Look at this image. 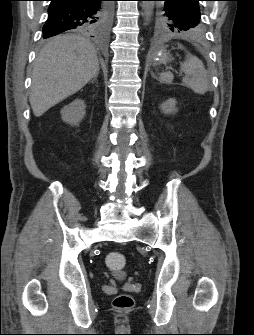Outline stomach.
<instances>
[{
  "label": "stomach",
  "instance_id": "stomach-1",
  "mask_svg": "<svg viewBox=\"0 0 254 335\" xmlns=\"http://www.w3.org/2000/svg\"><path fill=\"white\" fill-rule=\"evenodd\" d=\"M171 60V55L166 50H160L153 58L155 64H167Z\"/></svg>",
  "mask_w": 254,
  "mask_h": 335
}]
</instances>
